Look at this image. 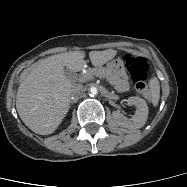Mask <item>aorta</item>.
<instances>
[{
	"mask_svg": "<svg viewBox=\"0 0 187 187\" xmlns=\"http://www.w3.org/2000/svg\"><path fill=\"white\" fill-rule=\"evenodd\" d=\"M90 92H91L93 95H96V94H97V88H96V87H91Z\"/></svg>",
	"mask_w": 187,
	"mask_h": 187,
	"instance_id": "obj_1",
	"label": "aorta"
}]
</instances>
